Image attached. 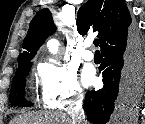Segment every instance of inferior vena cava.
<instances>
[{"mask_svg":"<svg viewBox=\"0 0 145 124\" xmlns=\"http://www.w3.org/2000/svg\"><path fill=\"white\" fill-rule=\"evenodd\" d=\"M77 105L79 107H77V109H75L74 111H72L70 113L72 124H84L85 115H84V111L82 109V102L78 101Z\"/></svg>","mask_w":145,"mask_h":124,"instance_id":"1","label":"inferior vena cava"}]
</instances>
